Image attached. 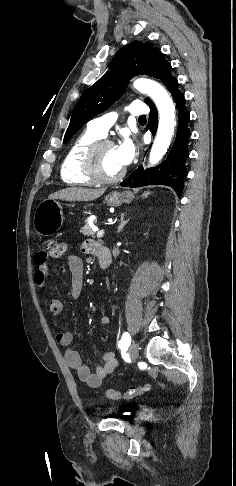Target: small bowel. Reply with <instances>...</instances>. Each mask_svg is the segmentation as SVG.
Segmentation results:
<instances>
[{"label":"small bowel","instance_id":"small-bowel-1","mask_svg":"<svg viewBox=\"0 0 236 486\" xmlns=\"http://www.w3.org/2000/svg\"><path fill=\"white\" fill-rule=\"evenodd\" d=\"M98 244L93 240H84L80 244V249L86 254H96V246ZM47 260L43 258L42 253H39L36 257V267L34 271L35 283L40 287H45L48 277V265ZM66 266L71 273V286L69 289V295L73 299L80 297L83 285V272L84 264L80 257L72 255L69 256L66 262ZM61 271H64L62 266ZM48 311L51 317V324L58 328L56 333V339L59 344L65 347L64 360L68 367L73 369L78 378L86 383L89 387L98 388L103 379L110 373H112L117 365V359L114 352H106L102 356V364H98L93 370L87 366L80 353L75 348L74 337L69 327L61 325V313L62 304L56 296L50 298L48 302ZM100 322L102 325L110 324V317L104 308L101 306Z\"/></svg>","mask_w":236,"mask_h":486}]
</instances>
